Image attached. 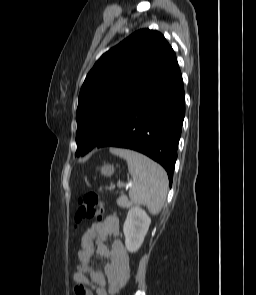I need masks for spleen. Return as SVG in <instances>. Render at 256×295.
I'll list each match as a JSON object with an SVG mask.
<instances>
[{"instance_id": "spleen-1", "label": "spleen", "mask_w": 256, "mask_h": 295, "mask_svg": "<svg viewBox=\"0 0 256 295\" xmlns=\"http://www.w3.org/2000/svg\"><path fill=\"white\" fill-rule=\"evenodd\" d=\"M127 161L129 172L133 178L129 190L130 200L120 198L117 204L129 208L133 204L147 206L153 215L159 214L166 200L168 177L165 170L148 157L131 150L110 149Z\"/></svg>"}]
</instances>
